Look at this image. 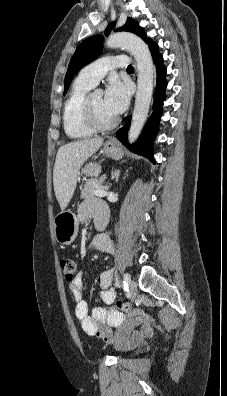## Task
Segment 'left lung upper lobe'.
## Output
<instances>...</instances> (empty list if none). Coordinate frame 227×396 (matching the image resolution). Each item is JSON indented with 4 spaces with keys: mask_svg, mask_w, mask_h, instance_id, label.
Segmentation results:
<instances>
[{
    "mask_svg": "<svg viewBox=\"0 0 227 396\" xmlns=\"http://www.w3.org/2000/svg\"><path fill=\"white\" fill-rule=\"evenodd\" d=\"M115 23L111 22L109 26L105 29V35L108 36L111 30L114 28ZM117 31H128L140 36L145 42L150 39L146 36L145 31L142 27H139L138 23L132 18H127L124 26L117 29ZM103 37L101 35H95L85 39L76 49L74 55L72 56L68 70L65 77V89L64 95L70 86V83L74 75L86 64L94 60L102 50Z\"/></svg>",
    "mask_w": 227,
    "mask_h": 396,
    "instance_id": "left-lung-upper-lobe-1",
    "label": "left lung upper lobe"
}]
</instances>
